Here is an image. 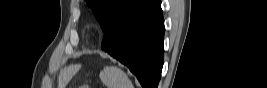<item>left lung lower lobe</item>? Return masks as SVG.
<instances>
[{"mask_svg":"<svg viewBox=\"0 0 267 88\" xmlns=\"http://www.w3.org/2000/svg\"><path fill=\"white\" fill-rule=\"evenodd\" d=\"M160 0H139L104 34L101 47L126 65L143 88H157L163 66L164 20Z\"/></svg>","mask_w":267,"mask_h":88,"instance_id":"0a47b994","label":"left lung lower lobe"}]
</instances>
